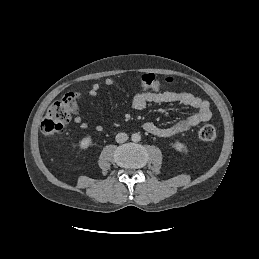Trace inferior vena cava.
<instances>
[{"instance_id":"602c4592","label":"inferior vena cava","mask_w":259,"mask_h":259,"mask_svg":"<svg viewBox=\"0 0 259 259\" xmlns=\"http://www.w3.org/2000/svg\"><path fill=\"white\" fill-rule=\"evenodd\" d=\"M116 142L117 143H124V142H126L127 140H128V135L126 134V133H118L117 135H116Z\"/></svg>"}]
</instances>
